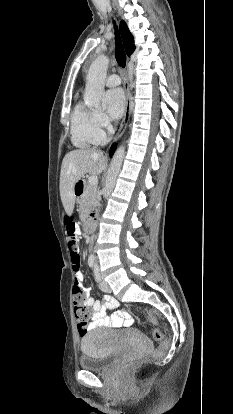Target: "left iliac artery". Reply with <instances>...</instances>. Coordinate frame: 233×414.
Segmentation results:
<instances>
[{
    "label": "left iliac artery",
    "instance_id": "left-iliac-artery-1",
    "mask_svg": "<svg viewBox=\"0 0 233 414\" xmlns=\"http://www.w3.org/2000/svg\"><path fill=\"white\" fill-rule=\"evenodd\" d=\"M94 276L97 282L101 280L100 271L97 265L94 266Z\"/></svg>",
    "mask_w": 233,
    "mask_h": 414
}]
</instances>
